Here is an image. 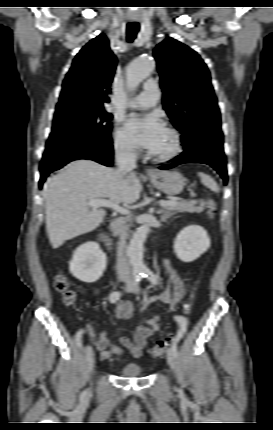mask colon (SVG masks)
<instances>
[{"instance_id":"obj_1","label":"colon","mask_w":273,"mask_h":430,"mask_svg":"<svg viewBox=\"0 0 273 430\" xmlns=\"http://www.w3.org/2000/svg\"><path fill=\"white\" fill-rule=\"evenodd\" d=\"M206 211H207V214H208L209 217H212L214 215L215 205H214V202L211 199H209L207 201ZM55 288L57 289V291H59L62 294L63 300H64V302L67 305L73 304V302L75 300V293L70 288L69 282L67 281V279H66V277L64 275L59 274V275L56 276V279H55ZM194 291H195V287H194ZM193 299H194V293L192 292L188 303H186V305L184 307V310H185L186 313H190L191 312ZM183 328H186V325L185 326L179 325L178 330H183ZM173 338H174V335H171L166 340L158 341L150 349L149 354L153 358H158V357L162 356L164 354V352L166 351V349L168 348V346L171 343V341L173 340Z\"/></svg>"}]
</instances>
